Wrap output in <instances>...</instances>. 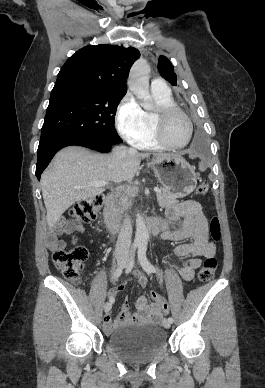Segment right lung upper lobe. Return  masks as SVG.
Listing matches in <instances>:
<instances>
[{"label": "right lung upper lobe", "instance_id": "obj_1", "mask_svg": "<svg viewBox=\"0 0 265 388\" xmlns=\"http://www.w3.org/2000/svg\"><path fill=\"white\" fill-rule=\"evenodd\" d=\"M140 52L116 45L86 46L62 66L51 93L74 90L127 92V75Z\"/></svg>", "mask_w": 265, "mask_h": 388}]
</instances>
